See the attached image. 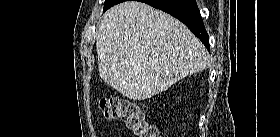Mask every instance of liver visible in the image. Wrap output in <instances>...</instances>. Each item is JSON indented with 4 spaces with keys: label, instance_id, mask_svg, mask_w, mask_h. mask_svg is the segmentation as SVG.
<instances>
[{
    "label": "liver",
    "instance_id": "obj_1",
    "mask_svg": "<svg viewBox=\"0 0 280 137\" xmlns=\"http://www.w3.org/2000/svg\"><path fill=\"white\" fill-rule=\"evenodd\" d=\"M96 49L103 81L139 101L209 65L205 47L183 23L136 1L120 3L103 15Z\"/></svg>",
    "mask_w": 280,
    "mask_h": 137
}]
</instances>
